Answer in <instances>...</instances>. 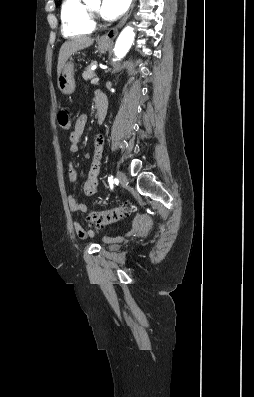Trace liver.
Listing matches in <instances>:
<instances>
[{
	"label": "liver",
	"mask_w": 254,
	"mask_h": 397,
	"mask_svg": "<svg viewBox=\"0 0 254 397\" xmlns=\"http://www.w3.org/2000/svg\"><path fill=\"white\" fill-rule=\"evenodd\" d=\"M93 42L94 39L89 36H80L64 42L59 51L57 73L62 69L63 65L72 54L78 50L89 47Z\"/></svg>",
	"instance_id": "1"
}]
</instances>
